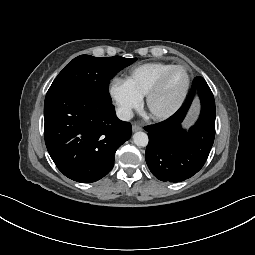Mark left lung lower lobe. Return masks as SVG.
Wrapping results in <instances>:
<instances>
[{
	"label": "left lung lower lobe",
	"instance_id": "obj_1",
	"mask_svg": "<svg viewBox=\"0 0 255 255\" xmlns=\"http://www.w3.org/2000/svg\"><path fill=\"white\" fill-rule=\"evenodd\" d=\"M201 101V114L189 131L182 121L195 96ZM215 101L202 77L193 80L183 106L167 120L145 127L149 144L145 159L152 174L161 181L181 182L203 167L215 137Z\"/></svg>",
	"mask_w": 255,
	"mask_h": 255
}]
</instances>
